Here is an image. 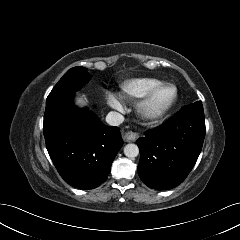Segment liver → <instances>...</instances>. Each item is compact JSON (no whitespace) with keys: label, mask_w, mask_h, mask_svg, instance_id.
<instances>
[{"label":"liver","mask_w":240,"mask_h":240,"mask_svg":"<svg viewBox=\"0 0 240 240\" xmlns=\"http://www.w3.org/2000/svg\"><path fill=\"white\" fill-rule=\"evenodd\" d=\"M77 104L82 105V104H83V100H82V99H79V100L77 101Z\"/></svg>","instance_id":"6515ba94"}]
</instances>
